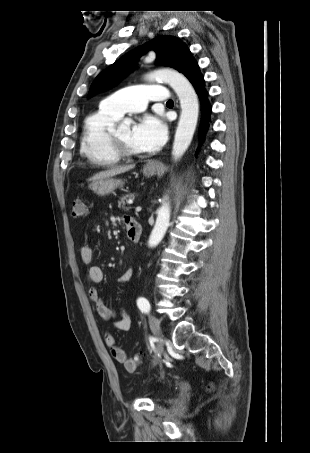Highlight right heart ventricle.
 I'll return each mask as SVG.
<instances>
[{
	"label": "right heart ventricle",
	"mask_w": 310,
	"mask_h": 453,
	"mask_svg": "<svg viewBox=\"0 0 310 453\" xmlns=\"http://www.w3.org/2000/svg\"><path fill=\"white\" fill-rule=\"evenodd\" d=\"M119 117L120 115L101 105L86 117L80 141V152L91 165L110 167L120 162L121 159L112 151L108 143L109 133Z\"/></svg>",
	"instance_id": "1"
}]
</instances>
